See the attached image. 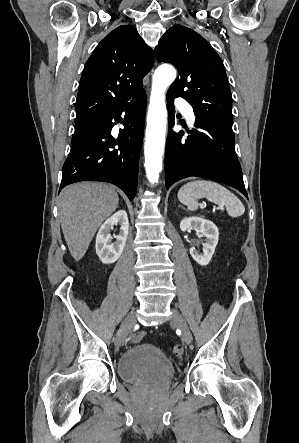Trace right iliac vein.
<instances>
[{
  "label": "right iliac vein",
  "instance_id": "obj_1",
  "mask_svg": "<svg viewBox=\"0 0 299 443\" xmlns=\"http://www.w3.org/2000/svg\"><path fill=\"white\" fill-rule=\"evenodd\" d=\"M136 320L137 319H136L135 312H131L127 315V317L125 318V320L121 326V332L118 334V336L116 337V340H115V346L117 348H120L124 344V342L126 340L127 332L136 324Z\"/></svg>",
  "mask_w": 299,
  "mask_h": 443
}]
</instances>
